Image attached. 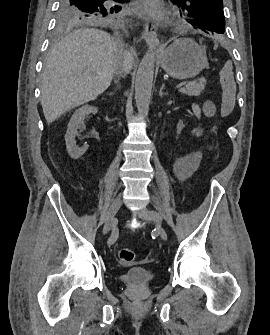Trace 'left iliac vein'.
Masks as SVG:
<instances>
[{"mask_svg": "<svg viewBox=\"0 0 270 335\" xmlns=\"http://www.w3.org/2000/svg\"><path fill=\"white\" fill-rule=\"evenodd\" d=\"M136 215L141 219H144V220H147V221H150V222L154 221V218L150 214V211L148 209H141V210L136 212ZM154 223H155L156 230H157L158 234L160 235V237L164 241H166L167 238H168L166 231L164 230V228L162 227V225L160 223H158V222H154Z\"/></svg>", "mask_w": 270, "mask_h": 335, "instance_id": "left-iliac-vein-1", "label": "left iliac vein"}]
</instances>
